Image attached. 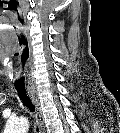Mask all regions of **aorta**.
I'll list each match as a JSON object with an SVG mask.
<instances>
[{
    "label": "aorta",
    "instance_id": "aorta-1",
    "mask_svg": "<svg viewBox=\"0 0 120 133\" xmlns=\"http://www.w3.org/2000/svg\"><path fill=\"white\" fill-rule=\"evenodd\" d=\"M28 129V122L24 118L16 119L10 122L7 127V133H21Z\"/></svg>",
    "mask_w": 120,
    "mask_h": 133
}]
</instances>
